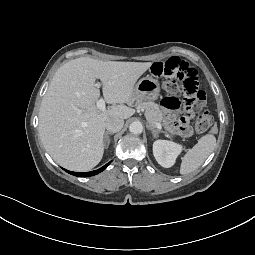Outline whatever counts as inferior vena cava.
<instances>
[{
  "mask_svg": "<svg viewBox=\"0 0 255 255\" xmlns=\"http://www.w3.org/2000/svg\"><path fill=\"white\" fill-rule=\"evenodd\" d=\"M124 125V120L113 117V118H108L106 121L105 127L110 133H116L122 129Z\"/></svg>",
  "mask_w": 255,
  "mask_h": 255,
  "instance_id": "inferior-vena-cava-1",
  "label": "inferior vena cava"
}]
</instances>
